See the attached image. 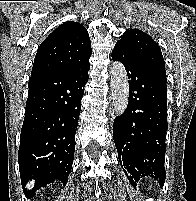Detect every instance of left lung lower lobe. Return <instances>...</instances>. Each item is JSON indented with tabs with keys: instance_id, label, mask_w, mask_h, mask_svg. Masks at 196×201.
<instances>
[{
	"instance_id": "obj_1",
	"label": "left lung lower lobe",
	"mask_w": 196,
	"mask_h": 201,
	"mask_svg": "<svg viewBox=\"0 0 196 201\" xmlns=\"http://www.w3.org/2000/svg\"><path fill=\"white\" fill-rule=\"evenodd\" d=\"M112 59L123 63L130 79L128 106L113 126L120 164L133 186L145 176L162 186L168 128L166 77L138 65L118 47H114Z\"/></svg>"
}]
</instances>
